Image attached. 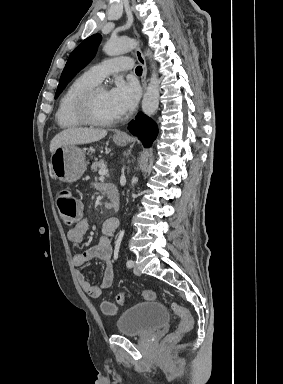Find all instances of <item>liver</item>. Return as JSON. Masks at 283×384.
I'll return each instance as SVG.
<instances>
[{
	"label": "liver",
	"mask_w": 283,
	"mask_h": 384,
	"mask_svg": "<svg viewBox=\"0 0 283 384\" xmlns=\"http://www.w3.org/2000/svg\"><path fill=\"white\" fill-rule=\"evenodd\" d=\"M107 136L106 130H92V128H75L70 126L67 130H63L57 136H54L50 144V152L53 154L56 148L66 146V144H91V142H99Z\"/></svg>",
	"instance_id": "1"
}]
</instances>
